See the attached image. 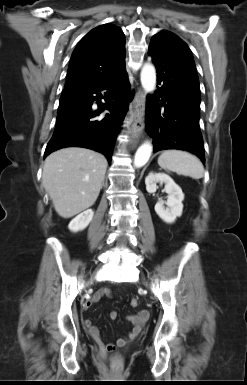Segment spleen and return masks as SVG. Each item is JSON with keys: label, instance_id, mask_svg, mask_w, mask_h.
I'll return each mask as SVG.
<instances>
[{"label": "spleen", "instance_id": "3e777b00", "mask_svg": "<svg viewBox=\"0 0 247 385\" xmlns=\"http://www.w3.org/2000/svg\"><path fill=\"white\" fill-rule=\"evenodd\" d=\"M158 164L165 170L190 176L193 179H200L204 176V167L201 161L193 154L185 151L166 150L159 156Z\"/></svg>", "mask_w": 247, "mask_h": 385}]
</instances>
